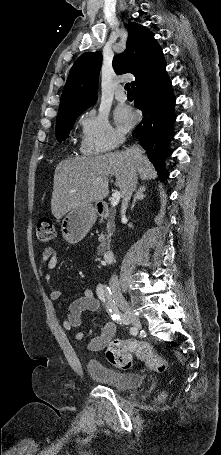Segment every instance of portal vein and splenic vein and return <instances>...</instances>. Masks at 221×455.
<instances>
[{"label":"portal vein and splenic vein","instance_id":"portal-vein-and-splenic-vein-1","mask_svg":"<svg viewBox=\"0 0 221 455\" xmlns=\"http://www.w3.org/2000/svg\"><path fill=\"white\" fill-rule=\"evenodd\" d=\"M102 178L101 177H98L96 179V181H100ZM120 198H121V193L119 191H115L113 194H112V200H111V206L112 208H115L119 202H120Z\"/></svg>","mask_w":221,"mask_h":455}]
</instances>
